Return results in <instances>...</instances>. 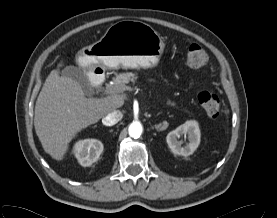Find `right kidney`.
Returning <instances> with one entry per match:
<instances>
[{"instance_id":"ca27d5eb","label":"right kidney","mask_w":277,"mask_h":218,"mask_svg":"<svg viewBox=\"0 0 277 218\" xmlns=\"http://www.w3.org/2000/svg\"><path fill=\"white\" fill-rule=\"evenodd\" d=\"M74 154L78 162L84 166H91L103 152V144L97 139H85L76 142Z\"/></svg>"}]
</instances>
